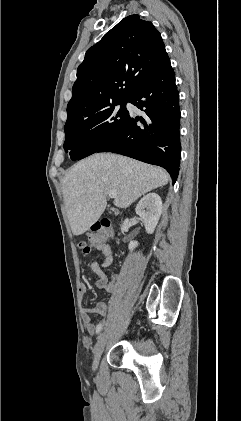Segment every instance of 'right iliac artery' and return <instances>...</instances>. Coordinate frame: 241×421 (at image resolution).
I'll list each match as a JSON object with an SVG mask.
<instances>
[{
    "instance_id": "1",
    "label": "right iliac artery",
    "mask_w": 241,
    "mask_h": 421,
    "mask_svg": "<svg viewBox=\"0 0 241 421\" xmlns=\"http://www.w3.org/2000/svg\"><path fill=\"white\" fill-rule=\"evenodd\" d=\"M103 324H99L97 326V334L100 333V331L102 330Z\"/></svg>"
}]
</instances>
